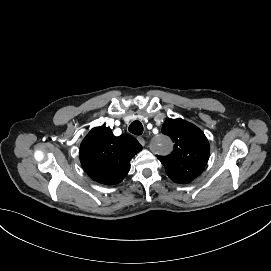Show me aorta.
Returning a JSON list of instances; mask_svg holds the SVG:
<instances>
[{"label":"aorta","instance_id":"762f6f07","mask_svg":"<svg viewBox=\"0 0 271 271\" xmlns=\"http://www.w3.org/2000/svg\"><path fill=\"white\" fill-rule=\"evenodd\" d=\"M172 147V143L170 142V140L161 135V136H158L155 140V149L160 151V152H163V153H167L168 151H170Z\"/></svg>","mask_w":271,"mask_h":271}]
</instances>
